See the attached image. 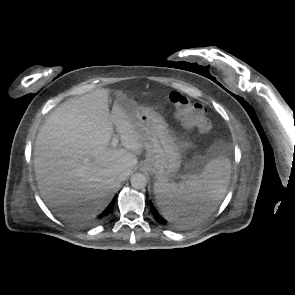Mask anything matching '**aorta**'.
<instances>
[{
  "instance_id": "aorta-1",
  "label": "aorta",
  "mask_w": 295,
  "mask_h": 295,
  "mask_svg": "<svg viewBox=\"0 0 295 295\" xmlns=\"http://www.w3.org/2000/svg\"><path fill=\"white\" fill-rule=\"evenodd\" d=\"M131 186L135 189H143L147 185V178L142 173H135L131 179Z\"/></svg>"
}]
</instances>
